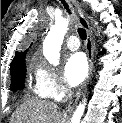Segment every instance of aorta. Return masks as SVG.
I'll use <instances>...</instances> for the list:
<instances>
[{"instance_id":"1","label":"aorta","mask_w":122,"mask_h":123,"mask_svg":"<svg viewBox=\"0 0 122 123\" xmlns=\"http://www.w3.org/2000/svg\"><path fill=\"white\" fill-rule=\"evenodd\" d=\"M69 24V20L62 18L57 21L54 26H52L49 35L47 36L44 44H43V54L48 62L54 66L59 64L60 60V49L63 43L64 35L66 33L67 27ZM86 105V99L80 103L72 118L71 123H80L81 118L83 116Z\"/></svg>"}]
</instances>
